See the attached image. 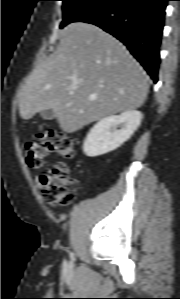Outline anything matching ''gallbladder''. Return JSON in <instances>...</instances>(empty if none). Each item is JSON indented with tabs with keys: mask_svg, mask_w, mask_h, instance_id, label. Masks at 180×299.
Here are the masks:
<instances>
[{
	"mask_svg": "<svg viewBox=\"0 0 180 299\" xmlns=\"http://www.w3.org/2000/svg\"><path fill=\"white\" fill-rule=\"evenodd\" d=\"M40 115L44 120H52L55 118V113L52 109L43 110Z\"/></svg>",
	"mask_w": 180,
	"mask_h": 299,
	"instance_id": "gallbladder-1",
	"label": "gallbladder"
}]
</instances>
